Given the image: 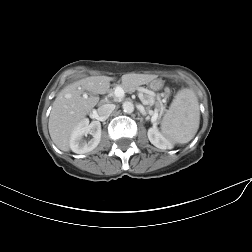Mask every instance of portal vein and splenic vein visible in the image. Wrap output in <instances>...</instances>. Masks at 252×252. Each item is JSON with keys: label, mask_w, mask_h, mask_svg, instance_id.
Returning a JSON list of instances; mask_svg holds the SVG:
<instances>
[{"label": "portal vein and splenic vein", "mask_w": 252, "mask_h": 252, "mask_svg": "<svg viewBox=\"0 0 252 252\" xmlns=\"http://www.w3.org/2000/svg\"><path fill=\"white\" fill-rule=\"evenodd\" d=\"M114 94H115V96H116L117 98L121 99V98L124 97L125 92H124V90H123L121 87H117V88L115 89V91H114ZM138 97H139V99L142 101L143 104H146V101L144 100L142 94H139ZM152 119H153V120H156V119H157V114L154 113L153 116H152Z\"/></svg>", "instance_id": "18ae733b"}]
</instances>
